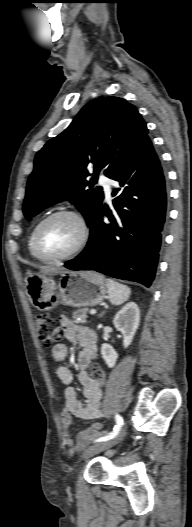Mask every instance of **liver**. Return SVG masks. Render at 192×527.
I'll use <instances>...</instances> for the list:
<instances>
[{
  "mask_svg": "<svg viewBox=\"0 0 192 527\" xmlns=\"http://www.w3.org/2000/svg\"><path fill=\"white\" fill-rule=\"evenodd\" d=\"M39 269H40V273L44 275H56L58 273L65 271V269L63 268L52 267V266H40Z\"/></svg>",
  "mask_w": 192,
  "mask_h": 527,
  "instance_id": "liver-1",
  "label": "liver"
}]
</instances>
